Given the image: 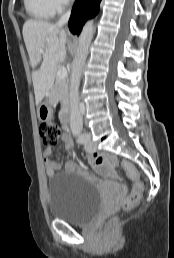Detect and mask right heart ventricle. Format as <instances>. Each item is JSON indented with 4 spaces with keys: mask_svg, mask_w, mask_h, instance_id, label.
<instances>
[{
    "mask_svg": "<svg viewBox=\"0 0 174 258\" xmlns=\"http://www.w3.org/2000/svg\"><path fill=\"white\" fill-rule=\"evenodd\" d=\"M26 12L38 20L51 18L55 10L49 0H23Z\"/></svg>",
    "mask_w": 174,
    "mask_h": 258,
    "instance_id": "e07e8e85",
    "label": "right heart ventricle"
}]
</instances>
